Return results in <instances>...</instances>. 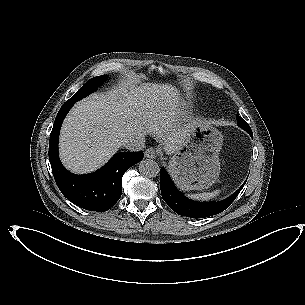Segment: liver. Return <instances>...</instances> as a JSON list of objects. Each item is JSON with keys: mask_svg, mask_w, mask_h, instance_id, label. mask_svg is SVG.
Masks as SVG:
<instances>
[{"mask_svg": "<svg viewBox=\"0 0 305 305\" xmlns=\"http://www.w3.org/2000/svg\"><path fill=\"white\" fill-rule=\"evenodd\" d=\"M144 93L139 87L130 86L93 94L75 103L60 131L59 156L63 165L75 174L94 172L109 161L124 139L145 138L146 134L161 139L165 150L175 153L193 123L182 122L184 116L178 111L154 110Z\"/></svg>", "mask_w": 305, "mask_h": 305, "instance_id": "liver-1", "label": "liver"}]
</instances>
